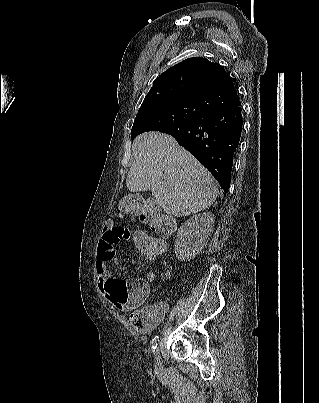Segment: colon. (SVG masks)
I'll use <instances>...</instances> for the list:
<instances>
[{"label":"colon","mask_w":319,"mask_h":403,"mask_svg":"<svg viewBox=\"0 0 319 403\" xmlns=\"http://www.w3.org/2000/svg\"><path fill=\"white\" fill-rule=\"evenodd\" d=\"M142 192H128L127 197L121 199L126 217H140V220L149 224L151 229H136L129 239L132 249L137 250L138 258H163L167 251V240L174 228L172 220L161 214L156 201H144ZM154 231L157 234H152Z\"/></svg>","instance_id":"colon-1"}]
</instances>
